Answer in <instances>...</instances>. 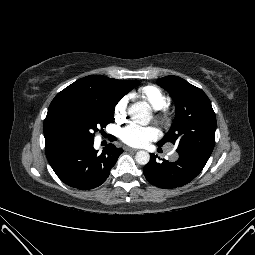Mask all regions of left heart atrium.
<instances>
[{
  "mask_svg": "<svg viewBox=\"0 0 255 255\" xmlns=\"http://www.w3.org/2000/svg\"><path fill=\"white\" fill-rule=\"evenodd\" d=\"M119 136L120 139L127 145L142 147L156 139L159 136V132L156 128L151 126L145 127L130 124L121 129Z\"/></svg>",
  "mask_w": 255,
  "mask_h": 255,
  "instance_id": "1",
  "label": "left heart atrium"
}]
</instances>
